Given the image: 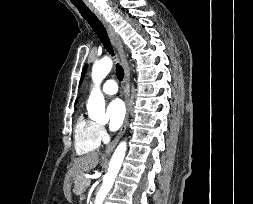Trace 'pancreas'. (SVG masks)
Listing matches in <instances>:
<instances>
[{"mask_svg": "<svg viewBox=\"0 0 253 204\" xmlns=\"http://www.w3.org/2000/svg\"><path fill=\"white\" fill-rule=\"evenodd\" d=\"M86 181H87V178H85L84 176H79L76 178V181H75V186H74V189H73V192L76 194V195H82L86 189Z\"/></svg>", "mask_w": 253, "mask_h": 204, "instance_id": "1", "label": "pancreas"}]
</instances>
